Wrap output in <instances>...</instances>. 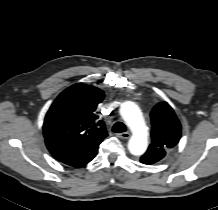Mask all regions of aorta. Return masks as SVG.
<instances>
[{"label":"aorta","mask_w":218,"mask_h":210,"mask_svg":"<svg viewBox=\"0 0 218 210\" xmlns=\"http://www.w3.org/2000/svg\"><path fill=\"white\" fill-rule=\"evenodd\" d=\"M120 114L132 132L128 142L130 153L142 155L148 146V131L139 107L134 102L126 101L120 107Z\"/></svg>","instance_id":"762f6f07"}]
</instances>
